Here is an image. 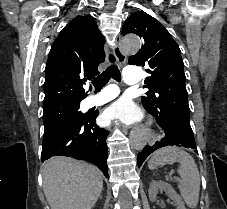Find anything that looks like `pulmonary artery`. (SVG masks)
I'll list each match as a JSON object with an SVG mask.
<instances>
[{
  "mask_svg": "<svg viewBox=\"0 0 227 209\" xmlns=\"http://www.w3.org/2000/svg\"><path fill=\"white\" fill-rule=\"evenodd\" d=\"M140 71L136 70V66H125L123 69V82L126 85L132 83H139ZM117 94V88H106V93H99L96 95H89L84 98L86 105L89 107L101 106L111 99H113Z\"/></svg>",
  "mask_w": 227,
  "mask_h": 209,
  "instance_id": "obj_1",
  "label": "pulmonary artery"
}]
</instances>
